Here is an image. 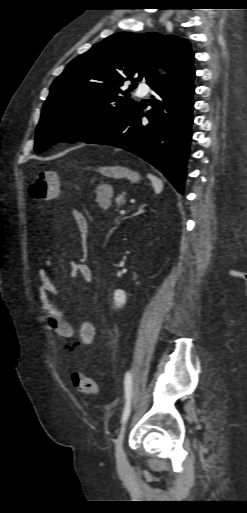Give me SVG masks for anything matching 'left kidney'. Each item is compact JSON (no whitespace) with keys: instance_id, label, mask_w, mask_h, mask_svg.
I'll use <instances>...</instances> for the list:
<instances>
[{"instance_id":"1","label":"left kidney","mask_w":247,"mask_h":513,"mask_svg":"<svg viewBox=\"0 0 247 513\" xmlns=\"http://www.w3.org/2000/svg\"><path fill=\"white\" fill-rule=\"evenodd\" d=\"M126 302V293L122 290H116L114 293V304L116 307H121Z\"/></svg>"}]
</instances>
